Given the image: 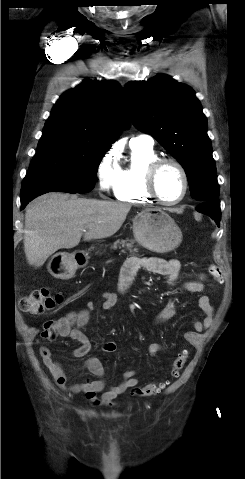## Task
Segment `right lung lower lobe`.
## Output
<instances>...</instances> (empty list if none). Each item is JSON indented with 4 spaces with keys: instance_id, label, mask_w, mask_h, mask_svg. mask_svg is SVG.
Segmentation results:
<instances>
[{
    "instance_id": "1",
    "label": "right lung lower lobe",
    "mask_w": 245,
    "mask_h": 479,
    "mask_svg": "<svg viewBox=\"0 0 245 479\" xmlns=\"http://www.w3.org/2000/svg\"><path fill=\"white\" fill-rule=\"evenodd\" d=\"M53 190H33L28 191L24 194H21V210L35 197L42 195L47 192H52Z\"/></svg>"
}]
</instances>
